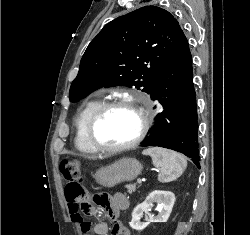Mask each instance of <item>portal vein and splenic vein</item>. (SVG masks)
I'll use <instances>...</instances> for the list:
<instances>
[{"label": "portal vein and splenic vein", "mask_w": 250, "mask_h": 235, "mask_svg": "<svg viewBox=\"0 0 250 235\" xmlns=\"http://www.w3.org/2000/svg\"><path fill=\"white\" fill-rule=\"evenodd\" d=\"M137 183H138V184H141V183H142V180H141V179H137Z\"/></svg>", "instance_id": "obj_1"}]
</instances>
